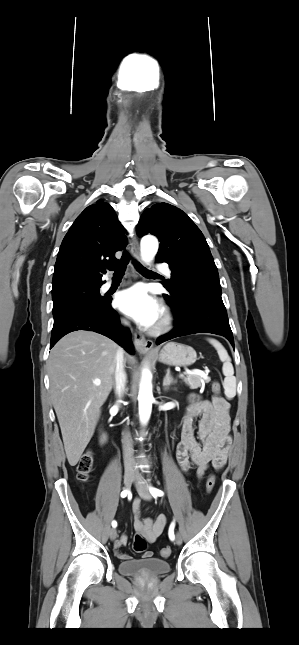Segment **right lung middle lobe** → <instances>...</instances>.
Segmentation results:
<instances>
[{"label":"right lung middle lobe","instance_id":"obj_1","mask_svg":"<svg viewBox=\"0 0 299 645\" xmlns=\"http://www.w3.org/2000/svg\"><path fill=\"white\" fill-rule=\"evenodd\" d=\"M102 284H72L52 291L54 323L76 310L104 304L107 298L99 293Z\"/></svg>","mask_w":299,"mask_h":645}]
</instances>
